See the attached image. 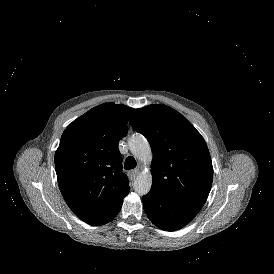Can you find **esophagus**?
<instances>
[{
  "label": "esophagus",
  "instance_id": "obj_1",
  "mask_svg": "<svg viewBox=\"0 0 274 274\" xmlns=\"http://www.w3.org/2000/svg\"><path fill=\"white\" fill-rule=\"evenodd\" d=\"M139 174V170L138 169H133L131 171L128 172V176L131 180H134Z\"/></svg>",
  "mask_w": 274,
  "mask_h": 274
}]
</instances>
